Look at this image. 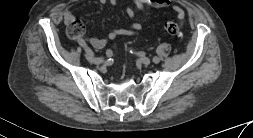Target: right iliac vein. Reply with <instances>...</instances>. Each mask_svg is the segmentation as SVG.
<instances>
[{"instance_id": "63e3f726", "label": "right iliac vein", "mask_w": 253, "mask_h": 138, "mask_svg": "<svg viewBox=\"0 0 253 138\" xmlns=\"http://www.w3.org/2000/svg\"><path fill=\"white\" fill-rule=\"evenodd\" d=\"M86 57L87 59L92 62V63H100V62H103L104 61V58L103 57H93V56H90L88 54H86Z\"/></svg>"}]
</instances>
